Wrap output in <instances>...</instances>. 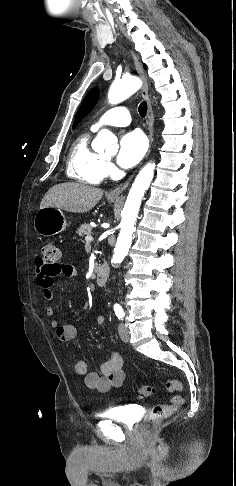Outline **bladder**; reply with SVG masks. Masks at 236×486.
<instances>
[{"mask_svg": "<svg viewBox=\"0 0 236 486\" xmlns=\"http://www.w3.org/2000/svg\"><path fill=\"white\" fill-rule=\"evenodd\" d=\"M137 409L132 405L117 406L99 413L102 419H108L125 425H133L136 421Z\"/></svg>", "mask_w": 236, "mask_h": 486, "instance_id": "obj_1", "label": "bladder"}]
</instances>
